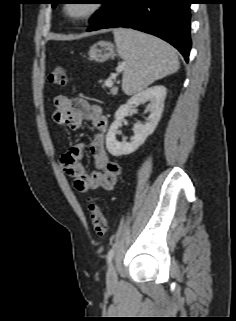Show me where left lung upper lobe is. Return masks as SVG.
<instances>
[{"mask_svg":"<svg viewBox=\"0 0 236 321\" xmlns=\"http://www.w3.org/2000/svg\"><path fill=\"white\" fill-rule=\"evenodd\" d=\"M57 0H51V4L53 7L58 4L56 2ZM100 1L99 3L102 4V7L93 15V17L90 19V22H93L98 16H100L111 4L113 0H98Z\"/></svg>","mask_w":236,"mask_h":321,"instance_id":"left-lung-upper-lobe-1","label":"left lung upper lobe"}]
</instances>
